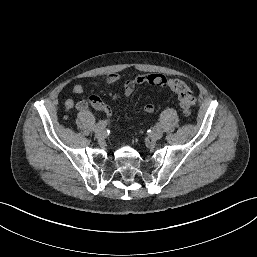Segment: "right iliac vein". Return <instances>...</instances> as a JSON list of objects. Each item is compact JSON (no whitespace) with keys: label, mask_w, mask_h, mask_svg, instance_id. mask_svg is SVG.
<instances>
[{"label":"right iliac vein","mask_w":257,"mask_h":257,"mask_svg":"<svg viewBox=\"0 0 257 257\" xmlns=\"http://www.w3.org/2000/svg\"><path fill=\"white\" fill-rule=\"evenodd\" d=\"M95 136L97 139H103L105 137V130L100 129L97 132H95Z\"/></svg>","instance_id":"63e3f726"}]
</instances>
